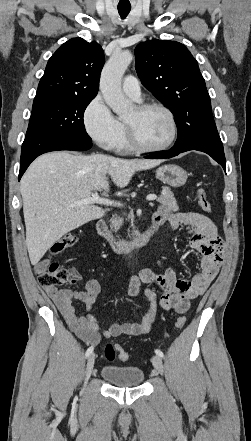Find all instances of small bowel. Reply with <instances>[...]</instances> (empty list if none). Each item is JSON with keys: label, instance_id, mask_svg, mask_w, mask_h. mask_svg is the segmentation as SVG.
<instances>
[{"label": "small bowel", "instance_id": "small-bowel-1", "mask_svg": "<svg viewBox=\"0 0 251 441\" xmlns=\"http://www.w3.org/2000/svg\"><path fill=\"white\" fill-rule=\"evenodd\" d=\"M160 223H168L173 230L185 226L190 234V247L202 254L200 272L191 280L178 277L172 267L158 273L149 269L132 277L128 284V294L137 296L142 284L156 283L162 289L160 299L152 290H145L149 308L140 322L113 324L102 330L92 311L100 292L99 283L90 279L84 289L74 291L57 286H44V291L54 301L70 329L86 344L98 345L102 338H113L120 335L140 336L148 333L155 321L158 308L173 310L184 314L190 307V301L201 296L218 274L222 261V241L214 223L198 213H171L160 208L153 216ZM49 260L45 259L36 265L37 269L46 268ZM75 270V269H74ZM77 275L79 273L77 270ZM74 301L84 304V313L79 314Z\"/></svg>", "mask_w": 251, "mask_h": 441}]
</instances>
